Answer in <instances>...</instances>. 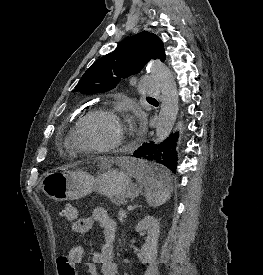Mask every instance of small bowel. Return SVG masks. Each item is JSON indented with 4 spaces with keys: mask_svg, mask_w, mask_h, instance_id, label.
I'll return each mask as SVG.
<instances>
[{
    "mask_svg": "<svg viewBox=\"0 0 263 275\" xmlns=\"http://www.w3.org/2000/svg\"><path fill=\"white\" fill-rule=\"evenodd\" d=\"M95 224L102 227L103 244L98 251L93 253L91 262L87 263V273L88 275H116L117 264L114 261L113 247L116 223L107 211L102 207H97L90 216L74 221L71 228L75 233H86Z\"/></svg>",
    "mask_w": 263,
    "mask_h": 275,
    "instance_id": "c3829d8e",
    "label": "small bowel"
}]
</instances>
